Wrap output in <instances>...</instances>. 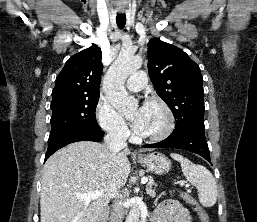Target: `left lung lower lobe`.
I'll return each instance as SVG.
<instances>
[{
	"mask_svg": "<svg viewBox=\"0 0 257 222\" xmlns=\"http://www.w3.org/2000/svg\"><path fill=\"white\" fill-rule=\"evenodd\" d=\"M143 147L184 149L199 154L211 163L204 128H188L178 132H173L165 140L155 144H146L143 145Z\"/></svg>",
	"mask_w": 257,
	"mask_h": 222,
	"instance_id": "left-lung-lower-lobe-1",
	"label": "left lung lower lobe"
}]
</instances>
